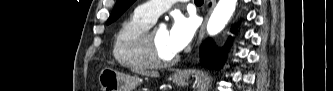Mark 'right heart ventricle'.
<instances>
[{
  "label": "right heart ventricle",
  "instance_id": "obj_1",
  "mask_svg": "<svg viewBox=\"0 0 333 91\" xmlns=\"http://www.w3.org/2000/svg\"><path fill=\"white\" fill-rule=\"evenodd\" d=\"M153 23L137 10L121 22L114 35L112 54L122 67L132 71L151 67L144 52L143 35Z\"/></svg>",
  "mask_w": 333,
  "mask_h": 91
}]
</instances>
